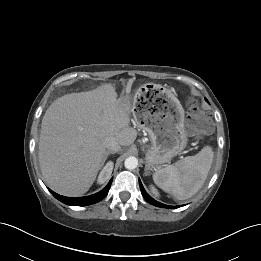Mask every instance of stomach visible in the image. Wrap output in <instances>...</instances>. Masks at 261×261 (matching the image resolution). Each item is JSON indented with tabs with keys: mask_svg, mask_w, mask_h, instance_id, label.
<instances>
[{
	"mask_svg": "<svg viewBox=\"0 0 261 261\" xmlns=\"http://www.w3.org/2000/svg\"><path fill=\"white\" fill-rule=\"evenodd\" d=\"M133 104L137 125L150 136L146 166L169 162L186 147L185 111L174 92L160 84H147Z\"/></svg>",
	"mask_w": 261,
	"mask_h": 261,
	"instance_id": "0dacf381",
	"label": "stomach"
}]
</instances>
